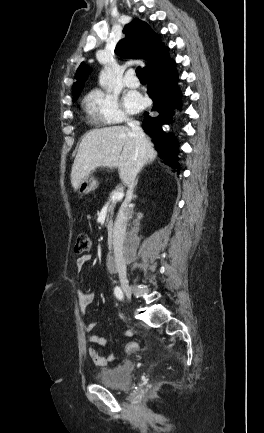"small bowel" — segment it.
Instances as JSON below:
<instances>
[{
  "instance_id": "c3829d8e",
  "label": "small bowel",
  "mask_w": 264,
  "mask_h": 433,
  "mask_svg": "<svg viewBox=\"0 0 264 433\" xmlns=\"http://www.w3.org/2000/svg\"><path fill=\"white\" fill-rule=\"evenodd\" d=\"M90 260H91V255H89V254L80 256L76 261L77 271L81 272V270L83 269L85 264L87 262H89ZM77 297L79 299L80 310H81L82 314H84L87 307L93 303V301L95 299V295L93 293L83 292L80 289H77ZM96 326H97V324L94 322L83 324L84 331L90 335L89 341L96 346H104V345H106L107 340H106V338H104L102 336L94 334ZM124 334L126 336H130L131 332L125 331ZM88 354H89L90 358L92 359L93 363L98 365V366H106L109 363H111L112 361H114V359H115V356L113 354H109L108 356H105V357L99 355L98 352L94 348H89Z\"/></svg>"
}]
</instances>
